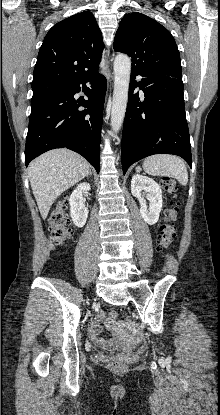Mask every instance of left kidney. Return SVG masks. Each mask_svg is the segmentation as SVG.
<instances>
[{
    "label": "left kidney",
    "mask_w": 220,
    "mask_h": 415,
    "mask_svg": "<svg viewBox=\"0 0 220 415\" xmlns=\"http://www.w3.org/2000/svg\"><path fill=\"white\" fill-rule=\"evenodd\" d=\"M142 191L147 193V199L150 201L147 208L146 200L142 197ZM131 193L139 200L140 214L144 221L149 225H154L162 209V190L160 186L151 178L135 174L131 180Z\"/></svg>",
    "instance_id": "5707ae66"
}]
</instances>
